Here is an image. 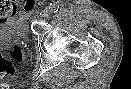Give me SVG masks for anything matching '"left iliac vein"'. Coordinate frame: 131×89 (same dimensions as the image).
Wrapping results in <instances>:
<instances>
[{"label":"left iliac vein","mask_w":131,"mask_h":89,"mask_svg":"<svg viewBox=\"0 0 131 89\" xmlns=\"http://www.w3.org/2000/svg\"><path fill=\"white\" fill-rule=\"evenodd\" d=\"M50 16V10L48 8H46L43 12V17L44 18H48Z\"/></svg>","instance_id":"left-iliac-vein-1"}]
</instances>
